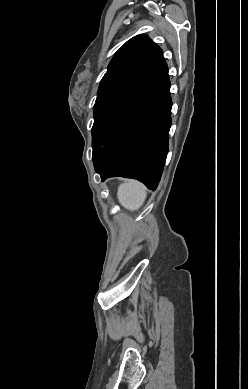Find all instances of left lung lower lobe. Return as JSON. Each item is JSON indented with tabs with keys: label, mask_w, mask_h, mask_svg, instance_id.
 Returning a JSON list of instances; mask_svg holds the SVG:
<instances>
[{
	"label": "left lung lower lobe",
	"mask_w": 248,
	"mask_h": 389,
	"mask_svg": "<svg viewBox=\"0 0 248 389\" xmlns=\"http://www.w3.org/2000/svg\"><path fill=\"white\" fill-rule=\"evenodd\" d=\"M171 107L168 67L161 55L94 121L92 133L105 140L92 154L102 181L123 176L157 188L168 153Z\"/></svg>",
	"instance_id": "1"
}]
</instances>
